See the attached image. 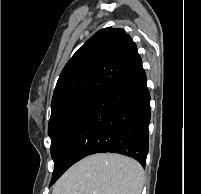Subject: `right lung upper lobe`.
<instances>
[{
	"mask_svg": "<svg viewBox=\"0 0 201 194\" xmlns=\"http://www.w3.org/2000/svg\"><path fill=\"white\" fill-rule=\"evenodd\" d=\"M141 64L136 44L123 29H101L81 46L63 68L51 108L72 98L100 95Z\"/></svg>",
	"mask_w": 201,
	"mask_h": 194,
	"instance_id": "cb5924a9",
	"label": "right lung upper lobe"
}]
</instances>
